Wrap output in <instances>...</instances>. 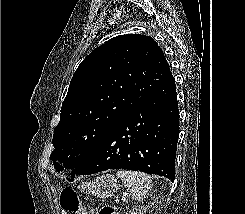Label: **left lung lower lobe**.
<instances>
[{
	"instance_id": "left-lung-lower-lobe-1",
	"label": "left lung lower lobe",
	"mask_w": 245,
	"mask_h": 214,
	"mask_svg": "<svg viewBox=\"0 0 245 214\" xmlns=\"http://www.w3.org/2000/svg\"><path fill=\"white\" fill-rule=\"evenodd\" d=\"M179 112L171 75L123 117L72 170L90 175L108 169H128L175 177Z\"/></svg>"
}]
</instances>
